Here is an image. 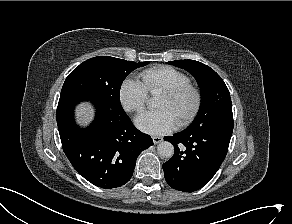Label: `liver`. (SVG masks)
<instances>
[{
  "label": "liver",
  "mask_w": 292,
  "mask_h": 224,
  "mask_svg": "<svg viewBox=\"0 0 292 224\" xmlns=\"http://www.w3.org/2000/svg\"><path fill=\"white\" fill-rule=\"evenodd\" d=\"M76 115L80 124H88L93 116V111L89 105L81 104L77 107Z\"/></svg>",
  "instance_id": "obj_1"
}]
</instances>
